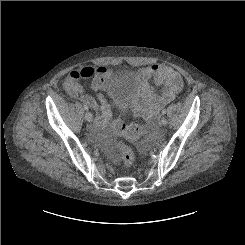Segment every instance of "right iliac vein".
<instances>
[{
  "instance_id": "1",
  "label": "right iliac vein",
  "mask_w": 245,
  "mask_h": 245,
  "mask_svg": "<svg viewBox=\"0 0 245 245\" xmlns=\"http://www.w3.org/2000/svg\"><path fill=\"white\" fill-rule=\"evenodd\" d=\"M85 119H86L88 122L92 121V114H91L90 112H87V113L85 114Z\"/></svg>"
}]
</instances>
